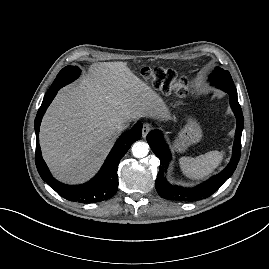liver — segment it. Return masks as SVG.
Here are the masks:
<instances>
[{
    "instance_id": "6515ba94",
    "label": "liver",
    "mask_w": 269,
    "mask_h": 269,
    "mask_svg": "<svg viewBox=\"0 0 269 269\" xmlns=\"http://www.w3.org/2000/svg\"><path fill=\"white\" fill-rule=\"evenodd\" d=\"M163 118L159 95L126 62L96 63L79 85L59 91L43 117L40 145L53 175L65 183L91 178L118 135L117 125Z\"/></svg>"
}]
</instances>
